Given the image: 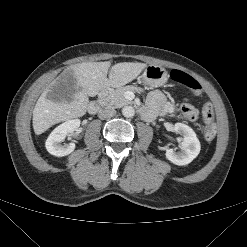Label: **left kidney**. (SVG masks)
I'll use <instances>...</instances> for the list:
<instances>
[{
	"label": "left kidney",
	"instance_id": "1",
	"mask_svg": "<svg viewBox=\"0 0 247 247\" xmlns=\"http://www.w3.org/2000/svg\"><path fill=\"white\" fill-rule=\"evenodd\" d=\"M173 131L183 136L181 142V152L176 153L173 149L166 148V158L176 165H187L195 159L201 149L200 142L192 128L176 123Z\"/></svg>",
	"mask_w": 247,
	"mask_h": 247
}]
</instances>
